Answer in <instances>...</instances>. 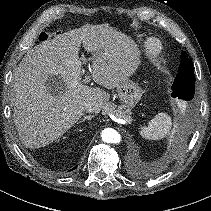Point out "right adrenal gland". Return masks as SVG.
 <instances>
[{
    "mask_svg": "<svg viewBox=\"0 0 211 211\" xmlns=\"http://www.w3.org/2000/svg\"><path fill=\"white\" fill-rule=\"evenodd\" d=\"M93 117V115H87V116H84V118L80 121L77 122V124H80L82 122H84L85 120H91Z\"/></svg>",
    "mask_w": 211,
    "mask_h": 211,
    "instance_id": "2a0ac1e0",
    "label": "right adrenal gland"
}]
</instances>
